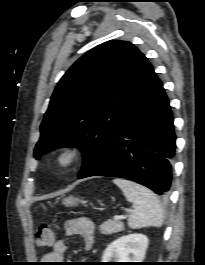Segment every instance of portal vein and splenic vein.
Listing matches in <instances>:
<instances>
[{"mask_svg":"<svg viewBox=\"0 0 205 265\" xmlns=\"http://www.w3.org/2000/svg\"><path fill=\"white\" fill-rule=\"evenodd\" d=\"M126 217L124 215H118V216H115L114 219L115 220H121V219H125Z\"/></svg>","mask_w":205,"mask_h":265,"instance_id":"portal-vein-and-splenic-vein-1","label":"portal vein and splenic vein"}]
</instances>
